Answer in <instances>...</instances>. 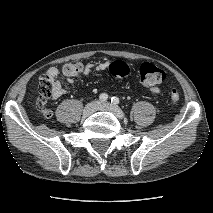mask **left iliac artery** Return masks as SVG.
Segmentation results:
<instances>
[{
    "label": "left iliac artery",
    "mask_w": 213,
    "mask_h": 213,
    "mask_svg": "<svg viewBox=\"0 0 213 213\" xmlns=\"http://www.w3.org/2000/svg\"><path fill=\"white\" fill-rule=\"evenodd\" d=\"M111 102H112L113 104H119V98H118V97H112V98H111Z\"/></svg>",
    "instance_id": "left-iliac-artery-1"
}]
</instances>
